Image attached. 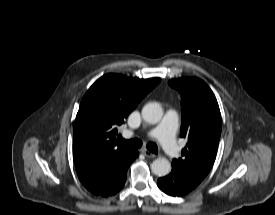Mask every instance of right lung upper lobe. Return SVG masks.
<instances>
[{
    "mask_svg": "<svg viewBox=\"0 0 275 215\" xmlns=\"http://www.w3.org/2000/svg\"><path fill=\"white\" fill-rule=\"evenodd\" d=\"M160 80L106 74L90 87L81 101L73 130L77 174L100 160L132 150L116 139L117 127Z\"/></svg>",
    "mask_w": 275,
    "mask_h": 215,
    "instance_id": "cb5924a9",
    "label": "right lung upper lobe"
}]
</instances>
